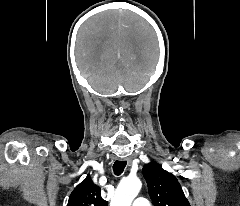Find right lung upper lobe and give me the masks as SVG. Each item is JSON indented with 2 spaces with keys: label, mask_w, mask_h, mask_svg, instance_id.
I'll return each instance as SVG.
<instances>
[{
  "label": "right lung upper lobe",
  "mask_w": 240,
  "mask_h": 206,
  "mask_svg": "<svg viewBox=\"0 0 240 206\" xmlns=\"http://www.w3.org/2000/svg\"><path fill=\"white\" fill-rule=\"evenodd\" d=\"M100 192V188L87 177L73 190L67 206H107Z\"/></svg>",
  "instance_id": "obj_1"
}]
</instances>
